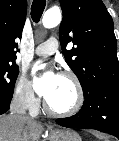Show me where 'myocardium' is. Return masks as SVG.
<instances>
[{"mask_svg":"<svg viewBox=\"0 0 119 141\" xmlns=\"http://www.w3.org/2000/svg\"><path fill=\"white\" fill-rule=\"evenodd\" d=\"M60 76L67 78L72 82L74 89H75V93H76V99H75L74 104L68 109L56 110V109H53L48 104L47 100L45 99L44 103H43V107H44V110L52 116L70 117V116L77 114L81 110V108L84 104V100H85L84 90H83V87H82V84H81L79 78L73 72L63 71L60 73Z\"/></svg>","mask_w":119,"mask_h":141,"instance_id":"f54148a6","label":"myocardium"}]
</instances>
